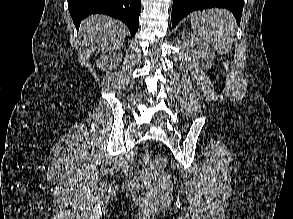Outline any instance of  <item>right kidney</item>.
Wrapping results in <instances>:
<instances>
[{"mask_svg": "<svg viewBox=\"0 0 293 219\" xmlns=\"http://www.w3.org/2000/svg\"><path fill=\"white\" fill-rule=\"evenodd\" d=\"M120 60L119 55L116 53L109 54L106 56L101 57L99 60H97L96 64L97 67L102 70L112 69L114 68Z\"/></svg>", "mask_w": 293, "mask_h": 219, "instance_id": "obj_1", "label": "right kidney"}]
</instances>
